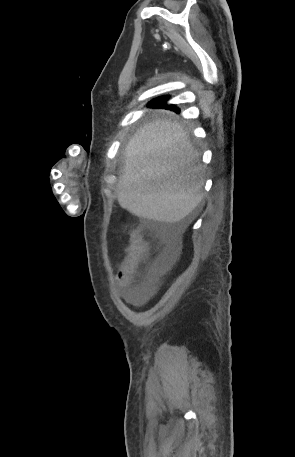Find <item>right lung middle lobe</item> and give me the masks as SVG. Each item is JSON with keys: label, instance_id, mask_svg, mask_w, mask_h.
Here are the masks:
<instances>
[{"label": "right lung middle lobe", "instance_id": "1", "mask_svg": "<svg viewBox=\"0 0 295 457\" xmlns=\"http://www.w3.org/2000/svg\"><path fill=\"white\" fill-rule=\"evenodd\" d=\"M160 99H161V100H165V99H167V97H161Z\"/></svg>", "mask_w": 295, "mask_h": 457}]
</instances>
